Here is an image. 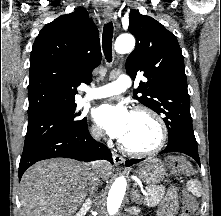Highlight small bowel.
<instances>
[{
  "mask_svg": "<svg viewBox=\"0 0 221 216\" xmlns=\"http://www.w3.org/2000/svg\"><path fill=\"white\" fill-rule=\"evenodd\" d=\"M164 208V213L166 216H175L177 209V194L174 189L169 191L165 199Z\"/></svg>",
  "mask_w": 221,
  "mask_h": 216,
  "instance_id": "c3829d8e",
  "label": "small bowel"
}]
</instances>
